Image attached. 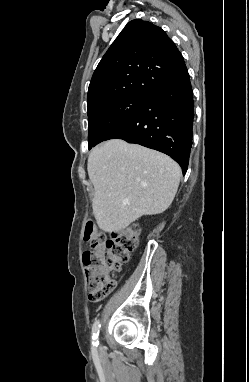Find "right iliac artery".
I'll return each instance as SVG.
<instances>
[{
    "label": "right iliac artery",
    "instance_id": "right-iliac-artery-1",
    "mask_svg": "<svg viewBox=\"0 0 249 382\" xmlns=\"http://www.w3.org/2000/svg\"><path fill=\"white\" fill-rule=\"evenodd\" d=\"M100 322L96 320L92 326V346L97 347L99 344L98 336L100 332Z\"/></svg>",
    "mask_w": 249,
    "mask_h": 382
}]
</instances>
